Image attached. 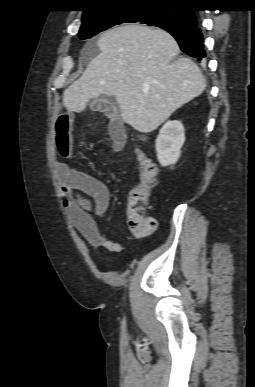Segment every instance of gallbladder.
I'll return each instance as SVG.
<instances>
[{
    "instance_id": "bac80fb5",
    "label": "gallbladder",
    "mask_w": 255,
    "mask_h": 387,
    "mask_svg": "<svg viewBox=\"0 0 255 387\" xmlns=\"http://www.w3.org/2000/svg\"><path fill=\"white\" fill-rule=\"evenodd\" d=\"M116 105H117V103H116V99L114 97L99 96V97L93 99L90 106H91L92 110H99L102 112H107L108 109H110Z\"/></svg>"
}]
</instances>
